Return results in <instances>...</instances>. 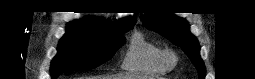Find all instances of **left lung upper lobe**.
<instances>
[{"label": "left lung upper lobe", "instance_id": "left-lung-upper-lobe-1", "mask_svg": "<svg viewBox=\"0 0 255 79\" xmlns=\"http://www.w3.org/2000/svg\"><path fill=\"white\" fill-rule=\"evenodd\" d=\"M143 24L181 47L199 72V79L205 78V66L200 58V46L190 33L186 20L164 12H153L143 19Z\"/></svg>", "mask_w": 255, "mask_h": 79}]
</instances>
